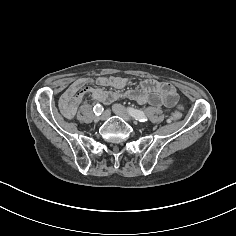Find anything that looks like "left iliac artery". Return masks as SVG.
Here are the masks:
<instances>
[{
	"instance_id": "1",
	"label": "left iliac artery",
	"mask_w": 236,
	"mask_h": 236,
	"mask_svg": "<svg viewBox=\"0 0 236 236\" xmlns=\"http://www.w3.org/2000/svg\"><path fill=\"white\" fill-rule=\"evenodd\" d=\"M128 112L133 118H135L139 122H145L148 120L146 115L144 114V112L141 110H137L134 108H128Z\"/></svg>"
}]
</instances>
